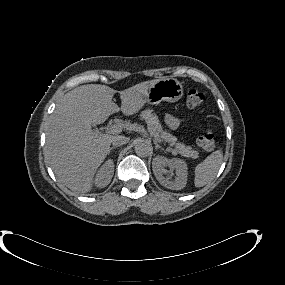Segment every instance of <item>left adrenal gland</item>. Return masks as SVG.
Masks as SVG:
<instances>
[{
    "label": "left adrenal gland",
    "mask_w": 285,
    "mask_h": 285,
    "mask_svg": "<svg viewBox=\"0 0 285 285\" xmlns=\"http://www.w3.org/2000/svg\"><path fill=\"white\" fill-rule=\"evenodd\" d=\"M154 143H155V149H158V148L163 149L162 146H160L156 141H154Z\"/></svg>",
    "instance_id": "left-adrenal-gland-1"
}]
</instances>
